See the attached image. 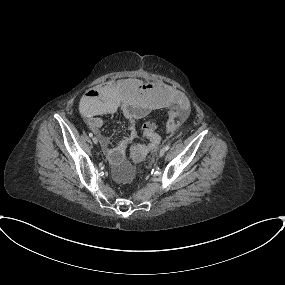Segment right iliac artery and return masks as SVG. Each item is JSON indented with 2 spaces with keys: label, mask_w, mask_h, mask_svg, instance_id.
I'll use <instances>...</instances> for the list:
<instances>
[{
  "label": "right iliac artery",
  "mask_w": 285,
  "mask_h": 285,
  "mask_svg": "<svg viewBox=\"0 0 285 285\" xmlns=\"http://www.w3.org/2000/svg\"><path fill=\"white\" fill-rule=\"evenodd\" d=\"M89 136H90V137H93V134H92V133H89Z\"/></svg>",
  "instance_id": "obj_1"
}]
</instances>
